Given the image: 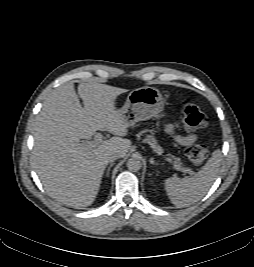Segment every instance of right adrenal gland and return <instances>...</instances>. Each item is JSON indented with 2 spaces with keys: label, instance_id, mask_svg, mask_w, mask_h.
<instances>
[{
  "label": "right adrenal gland",
  "instance_id": "2a0ac1e0",
  "mask_svg": "<svg viewBox=\"0 0 254 267\" xmlns=\"http://www.w3.org/2000/svg\"><path fill=\"white\" fill-rule=\"evenodd\" d=\"M112 166H113V163H111V164L108 166L107 171H106V177H109L110 169H111Z\"/></svg>",
  "mask_w": 254,
  "mask_h": 267
}]
</instances>
